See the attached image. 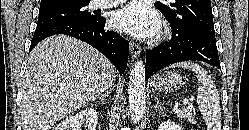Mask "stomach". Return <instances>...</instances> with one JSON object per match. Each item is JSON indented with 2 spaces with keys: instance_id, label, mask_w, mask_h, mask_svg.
Returning <instances> with one entry per match:
<instances>
[{
  "instance_id": "1",
  "label": "stomach",
  "mask_w": 249,
  "mask_h": 130,
  "mask_svg": "<svg viewBox=\"0 0 249 130\" xmlns=\"http://www.w3.org/2000/svg\"><path fill=\"white\" fill-rule=\"evenodd\" d=\"M182 85V77L177 73L168 71L156 74L151 81L152 88L160 92H174Z\"/></svg>"
}]
</instances>
